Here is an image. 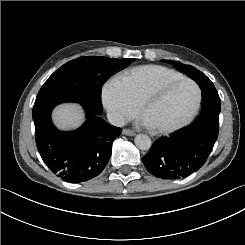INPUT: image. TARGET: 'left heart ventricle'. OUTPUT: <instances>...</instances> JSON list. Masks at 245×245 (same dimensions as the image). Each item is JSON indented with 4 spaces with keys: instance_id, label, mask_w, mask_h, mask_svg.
Returning <instances> with one entry per match:
<instances>
[{
    "instance_id": "obj_1",
    "label": "left heart ventricle",
    "mask_w": 245,
    "mask_h": 245,
    "mask_svg": "<svg viewBox=\"0 0 245 245\" xmlns=\"http://www.w3.org/2000/svg\"><path fill=\"white\" fill-rule=\"evenodd\" d=\"M194 90L186 82L153 92L141 112L148 126H163L180 121L191 109Z\"/></svg>"
}]
</instances>
